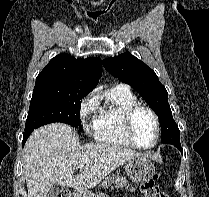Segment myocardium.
<instances>
[{"label":"myocardium","instance_id":"obj_1","mask_svg":"<svg viewBox=\"0 0 209 197\" xmlns=\"http://www.w3.org/2000/svg\"><path fill=\"white\" fill-rule=\"evenodd\" d=\"M139 110L147 111L152 116V118L154 120L155 137H154L152 144H150V145L144 146V145L138 144L133 136V119H134L135 114ZM123 128H124L125 136H126L127 140L129 141V143L133 147H136L138 149H143V150L152 149L157 145L159 138H160L159 117H158L157 113L151 107H149L148 105H145L143 103L136 102L125 111L124 119H123Z\"/></svg>","mask_w":209,"mask_h":197}]
</instances>
